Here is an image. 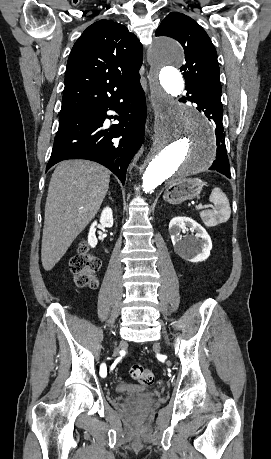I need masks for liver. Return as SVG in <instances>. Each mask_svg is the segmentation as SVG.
<instances>
[{
	"instance_id": "1",
	"label": "liver",
	"mask_w": 271,
	"mask_h": 459,
	"mask_svg": "<svg viewBox=\"0 0 271 459\" xmlns=\"http://www.w3.org/2000/svg\"><path fill=\"white\" fill-rule=\"evenodd\" d=\"M107 168L89 160H65L55 168L45 204L41 259L52 269L73 239L97 214L109 188Z\"/></svg>"
}]
</instances>
